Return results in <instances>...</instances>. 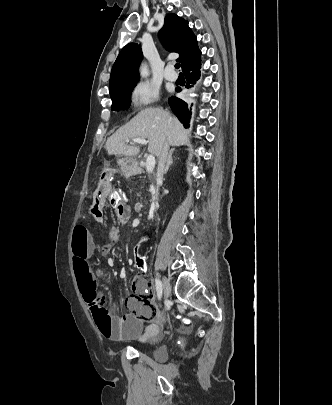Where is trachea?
I'll list each match as a JSON object with an SVG mask.
<instances>
[{
  "label": "trachea",
  "instance_id": "obj_1",
  "mask_svg": "<svg viewBox=\"0 0 332 405\" xmlns=\"http://www.w3.org/2000/svg\"><path fill=\"white\" fill-rule=\"evenodd\" d=\"M175 68L180 69V64L179 63L175 64Z\"/></svg>",
  "mask_w": 332,
  "mask_h": 405
}]
</instances>
